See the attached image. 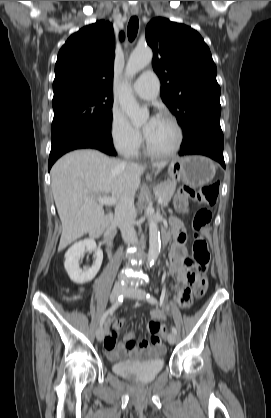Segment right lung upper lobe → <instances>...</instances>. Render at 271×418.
<instances>
[{"label": "right lung upper lobe", "mask_w": 271, "mask_h": 418, "mask_svg": "<svg viewBox=\"0 0 271 418\" xmlns=\"http://www.w3.org/2000/svg\"><path fill=\"white\" fill-rule=\"evenodd\" d=\"M114 49L113 27L104 20L72 34L58 53L53 101L74 95H113Z\"/></svg>", "instance_id": "obj_1"}]
</instances>
